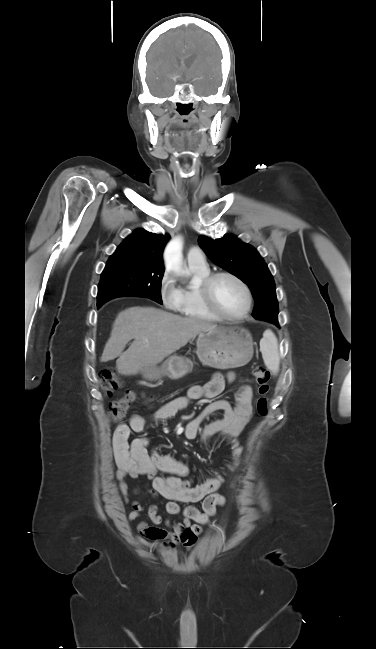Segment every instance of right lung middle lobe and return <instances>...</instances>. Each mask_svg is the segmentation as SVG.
<instances>
[{
    "label": "right lung middle lobe",
    "instance_id": "dd1d6c3e",
    "mask_svg": "<svg viewBox=\"0 0 376 649\" xmlns=\"http://www.w3.org/2000/svg\"><path fill=\"white\" fill-rule=\"evenodd\" d=\"M164 270H151L149 263L133 257H110L101 274L97 307L120 296L150 298L160 304Z\"/></svg>",
    "mask_w": 376,
    "mask_h": 649
}]
</instances>
